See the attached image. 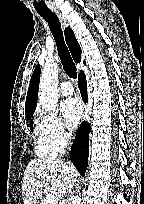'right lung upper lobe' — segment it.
I'll return each instance as SVG.
<instances>
[{
  "label": "right lung upper lobe",
  "instance_id": "right-lung-upper-lobe-1",
  "mask_svg": "<svg viewBox=\"0 0 144 204\" xmlns=\"http://www.w3.org/2000/svg\"><path fill=\"white\" fill-rule=\"evenodd\" d=\"M65 40L74 61L80 62L82 51H81L80 45L76 40L74 32L69 27L65 29ZM40 73H41V68L37 66L30 80L29 89L26 97V103H25V113L27 118L32 117L37 105V91H38Z\"/></svg>",
  "mask_w": 144,
  "mask_h": 204
}]
</instances>
